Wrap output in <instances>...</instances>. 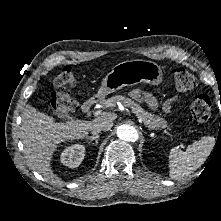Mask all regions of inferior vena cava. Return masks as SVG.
<instances>
[{
	"mask_svg": "<svg viewBox=\"0 0 221 221\" xmlns=\"http://www.w3.org/2000/svg\"><path fill=\"white\" fill-rule=\"evenodd\" d=\"M101 130H105V125L103 123L94 125L93 128L91 129V132H92L93 135H96Z\"/></svg>",
	"mask_w": 221,
	"mask_h": 221,
	"instance_id": "obj_1",
	"label": "inferior vena cava"
}]
</instances>
